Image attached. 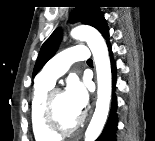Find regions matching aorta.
Listing matches in <instances>:
<instances>
[{"mask_svg": "<svg viewBox=\"0 0 155 141\" xmlns=\"http://www.w3.org/2000/svg\"><path fill=\"white\" fill-rule=\"evenodd\" d=\"M74 39L86 41L92 51L97 72V102L95 112L85 132V141H95L106 123L111 100V65L107 45L101 34L90 26L72 29Z\"/></svg>", "mask_w": 155, "mask_h": 141, "instance_id": "obj_1", "label": "aorta"}]
</instances>
